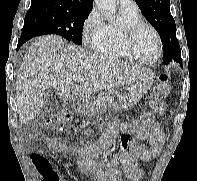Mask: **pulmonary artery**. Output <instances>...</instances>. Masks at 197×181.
<instances>
[{"mask_svg": "<svg viewBox=\"0 0 197 181\" xmlns=\"http://www.w3.org/2000/svg\"><path fill=\"white\" fill-rule=\"evenodd\" d=\"M119 7L122 9H135L137 5L133 0H119Z\"/></svg>", "mask_w": 197, "mask_h": 181, "instance_id": "1", "label": "pulmonary artery"}]
</instances>
